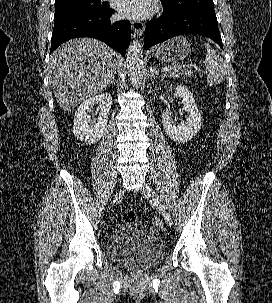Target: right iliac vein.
<instances>
[{"mask_svg":"<svg viewBox=\"0 0 272 303\" xmlns=\"http://www.w3.org/2000/svg\"><path fill=\"white\" fill-rule=\"evenodd\" d=\"M119 193H120V190H119V191H117V192L114 194L113 203H115V202H116V200L118 199V195H119Z\"/></svg>","mask_w":272,"mask_h":303,"instance_id":"obj_1","label":"right iliac vein"}]
</instances>
